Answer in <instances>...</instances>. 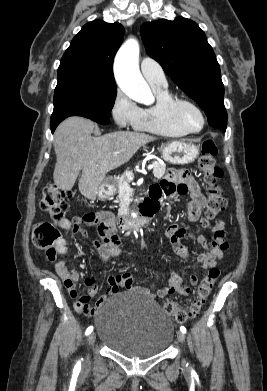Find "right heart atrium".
Returning <instances> with one entry per match:
<instances>
[{"instance_id":"1","label":"right heart atrium","mask_w":267,"mask_h":391,"mask_svg":"<svg viewBox=\"0 0 267 391\" xmlns=\"http://www.w3.org/2000/svg\"><path fill=\"white\" fill-rule=\"evenodd\" d=\"M141 109L122 91L118 90L111 106V116L119 128L135 126Z\"/></svg>"}]
</instances>
